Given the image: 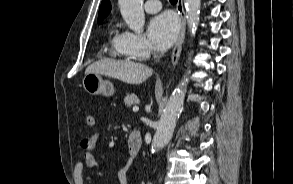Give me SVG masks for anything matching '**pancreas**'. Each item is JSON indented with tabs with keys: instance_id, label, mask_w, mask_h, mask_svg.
I'll list each match as a JSON object with an SVG mask.
<instances>
[{
	"instance_id": "pancreas-1",
	"label": "pancreas",
	"mask_w": 293,
	"mask_h": 184,
	"mask_svg": "<svg viewBox=\"0 0 293 184\" xmlns=\"http://www.w3.org/2000/svg\"><path fill=\"white\" fill-rule=\"evenodd\" d=\"M124 103L127 107H130L132 105L138 104L139 103V99L138 97L131 93V94H127L126 97L124 98Z\"/></svg>"
}]
</instances>
